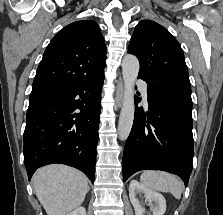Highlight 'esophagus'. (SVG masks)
Masks as SVG:
<instances>
[{
    "label": "esophagus",
    "mask_w": 223,
    "mask_h": 215,
    "mask_svg": "<svg viewBox=\"0 0 223 215\" xmlns=\"http://www.w3.org/2000/svg\"><path fill=\"white\" fill-rule=\"evenodd\" d=\"M123 91H124L123 82H122V79L120 78L118 80L117 89H116V97H115L118 107H121L123 104Z\"/></svg>",
    "instance_id": "obj_1"
}]
</instances>
